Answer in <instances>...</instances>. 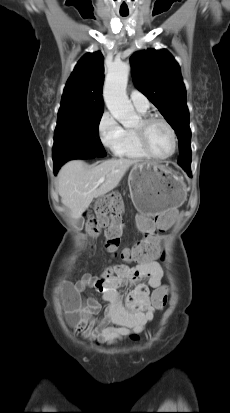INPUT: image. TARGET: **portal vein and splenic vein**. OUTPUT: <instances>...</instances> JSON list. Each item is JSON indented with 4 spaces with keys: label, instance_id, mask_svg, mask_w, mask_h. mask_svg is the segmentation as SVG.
<instances>
[{
    "label": "portal vein and splenic vein",
    "instance_id": "portal-vein-and-splenic-vein-1",
    "mask_svg": "<svg viewBox=\"0 0 230 413\" xmlns=\"http://www.w3.org/2000/svg\"><path fill=\"white\" fill-rule=\"evenodd\" d=\"M104 181H105V178H101V179L98 180V184H101V183H103Z\"/></svg>",
    "mask_w": 230,
    "mask_h": 413
}]
</instances>
